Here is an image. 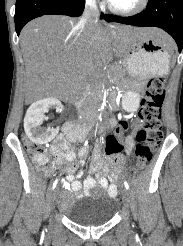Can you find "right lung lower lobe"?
I'll use <instances>...</instances> for the list:
<instances>
[{
  "instance_id": "right-lung-lower-lobe-1",
  "label": "right lung lower lobe",
  "mask_w": 183,
  "mask_h": 246,
  "mask_svg": "<svg viewBox=\"0 0 183 246\" xmlns=\"http://www.w3.org/2000/svg\"><path fill=\"white\" fill-rule=\"evenodd\" d=\"M84 7L85 0H17L14 16L17 35L34 18L51 14L78 17ZM103 16L101 14V18Z\"/></svg>"
}]
</instances>
